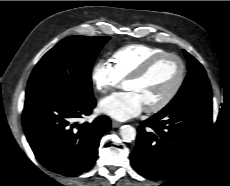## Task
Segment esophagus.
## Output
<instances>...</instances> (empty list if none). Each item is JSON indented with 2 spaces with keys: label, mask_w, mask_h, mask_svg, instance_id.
Segmentation results:
<instances>
[{
  "label": "esophagus",
  "mask_w": 230,
  "mask_h": 186,
  "mask_svg": "<svg viewBox=\"0 0 230 186\" xmlns=\"http://www.w3.org/2000/svg\"><path fill=\"white\" fill-rule=\"evenodd\" d=\"M122 124L120 122H117V121H112V127L113 128H118L120 127Z\"/></svg>",
  "instance_id": "1"
}]
</instances>
